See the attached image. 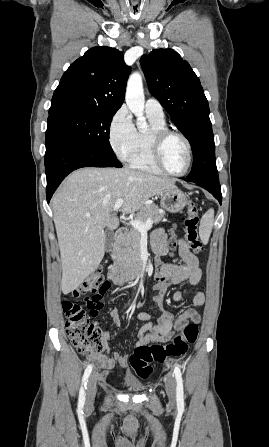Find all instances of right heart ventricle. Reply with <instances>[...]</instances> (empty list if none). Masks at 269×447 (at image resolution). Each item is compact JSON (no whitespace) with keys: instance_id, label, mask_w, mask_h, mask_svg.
Segmentation results:
<instances>
[{"instance_id":"e07e8e85","label":"right heart ventricle","mask_w":269,"mask_h":447,"mask_svg":"<svg viewBox=\"0 0 269 447\" xmlns=\"http://www.w3.org/2000/svg\"><path fill=\"white\" fill-rule=\"evenodd\" d=\"M150 127L148 130H138L135 134L134 146L129 155L128 162L131 167L154 173H162L163 170L154 162L151 153L150 135L155 129H164L166 127L165 119H159L153 115L147 114Z\"/></svg>"}]
</instances>
